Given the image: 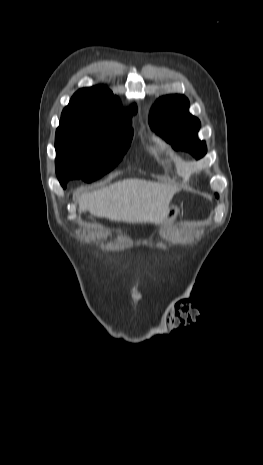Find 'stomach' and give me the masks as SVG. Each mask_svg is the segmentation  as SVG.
Wrapping results in <instances>:
<instances>
[{
    "label": "stomach",
    "instance_id": "0dacf381",
    "mask_svg": "<svg viewBox=\"0 0 263 465\" xmlns=\"http://www.w3.org/2000/svg\"><path fill=\"white\" fill-rule=\"evenodd\" d=\"M178 211L179 210H178V207L176 205H172L169 208V210H168V212H167V214L165 216V219H164L165 226H169V225H171L173 223V221L175 220V218H176V216L178 214Z\"/></svg>",
    "mask_w": 263,
    "mask_h": 465
}]
</instances>
